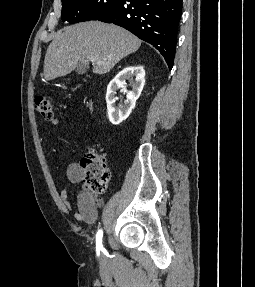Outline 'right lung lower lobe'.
Here are the masks:
<instances>
[{
  "label": "right lung lower lobe",
  "mask_w": 255,
  "mask_h": 287,
  "mask_svg": "<svg viewBox=\"0 0 255 287\" xmlns=\"http://www.w3.org/2000/svg\"><path fill=\"white\" fill-rule=\"evenodd\" d=\"M182 1L123 0L96 20L119 25L152 44L172 69Z\"/></svg>",
  "instance_id": "1"
}]
</instances>
